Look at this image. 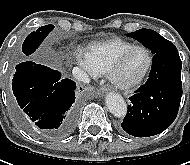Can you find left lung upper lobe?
<instances>
[{"label":"left lung upper lobe","mask_w":190,"mask_h":165,"mask_svg":"<svg viewBox=\"0 0 190 165\" xmlns=\"http://www.w3.org/2000/svg\"><path fill=\"white\" fill-rule=\"evenodd\" d=\"M149 48L153 54L173 45L172 42L166 40L157 32L150 29H140L127 34Z\"/></svg>","instance_id":"obj_1"}]
</instances>
